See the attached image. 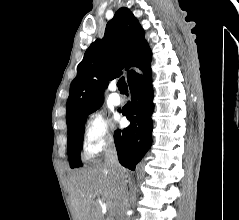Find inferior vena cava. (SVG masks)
Masks as SVG:
<instances>
[{
    "label": "inferior vena cava",
    "mask_w": 239,
    "mask_h": 220,
    "mask_svg": "<svg viewBox=\"0 0 239 220\" xmlns=\"http://www.w3.org/2000/svg\"><path fill=\"white\" fill-rule=\"evenodd\" d=\"M105 164L109 166L117 176L118 186L121 193L122 203H121V213L119 215V220H128L125 217L126 210L129 206V196L128 189L126 186L125 177L123 175V168L121 167L117 151L113 141H109L105 150Z\"/></svg>",
    "instance_id": "1"
}]
</instances>
